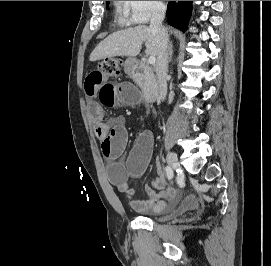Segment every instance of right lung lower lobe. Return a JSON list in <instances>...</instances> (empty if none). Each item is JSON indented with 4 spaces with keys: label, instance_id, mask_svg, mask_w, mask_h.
<instances>
[{
    "label": "right lung lower lobe",
    "instance_id": "98d812e1",
    "mask_svg": "<svg viewBox=\"0 0 271 266\" xmlns=\"http://www.w3.org/2000/svg\"><path fill=\"white\" fill-rule=\"evenodd\" d=\"M192 11V1H169L167 7L168 23L182 31L186 30Z\"/></svg>",
    "mask_w": 271,
    "mask_h": 266
}]
</instances>
